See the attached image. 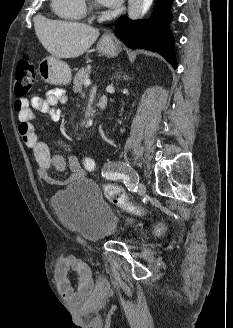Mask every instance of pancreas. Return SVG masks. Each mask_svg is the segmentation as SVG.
<instances>
[{
	"label": "pancreas",
	"instance_id": "pancreas-1",
	"mask_svg": "<svg viewBox=\"0 0 233 328\" xmlns=\"http://www.w3.org/2000/svg\"><path fill=\"white\" fill-rule=\"evenodd\" d=\"M90 74V66L81 68L77 74L75 75V78L73 80V91L75 93L82 90V86L86 79H88Z\"/></svg>",
	"mask_w": 233,
	"mask_h": 328
}]
</instances>
